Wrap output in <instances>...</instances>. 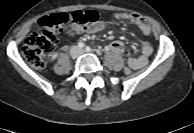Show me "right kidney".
<instances>
[{"label":"right kidney","mask_w":194,"mask_h":133,"mask_svg":"<svg viewBox=\"0 0 194 133\" xmlns=\"http://www.w3.org/2000/svg\"><path fill=\"white\" fill-rule=\"evenodd\" d=\"M56 57H57V53H55V54L52 55L51 60H54Z\"/></svg>","instance_id":"ca27d5eb"}]
</instances>
